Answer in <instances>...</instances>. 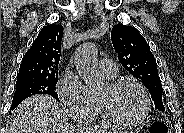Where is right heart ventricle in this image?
Returning a JSON list of instances; mask_svg holds the SVG:
<instances>
[{
  "label": "right heart ventricle",
  "instance_id": "1",
  "mask_svg": "<svg viewBox=\"0 0 184 133\" xmlns=\"http://www.w3.org/2000/svg\"><path fill=\"white\" fill-rule=\"evenodd\" d=\"M109 79H113V78H109ZM97 116H102L103 117L102 112H101L100 107H99V104H98V107H97V115H96V117Z\"/></svg>",
  "mask_w": 184,
  "mask_h": 133
}]
</instances>
